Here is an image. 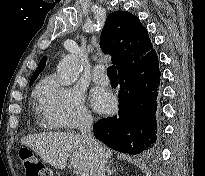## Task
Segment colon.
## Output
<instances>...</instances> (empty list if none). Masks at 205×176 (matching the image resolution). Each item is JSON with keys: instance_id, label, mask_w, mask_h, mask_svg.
I'll list each match as a JSON object with an SVG mask.
<instances>
[{"instance_id": "obj_1", "label": "colon", "mask_w": 205, "mask_h": 176, "mask_svg": "<svg viewBox=\"0 0 205 176\" xmlns=\"http://www.w3.org/2000/svg\"><path fill=\"white\" fill-rule=\"evenodd\" d=\"M22 161L25 165L26 176H51L50 169L32 152L24 153Z\"/></svg>"}]
</instances>
